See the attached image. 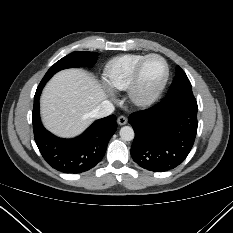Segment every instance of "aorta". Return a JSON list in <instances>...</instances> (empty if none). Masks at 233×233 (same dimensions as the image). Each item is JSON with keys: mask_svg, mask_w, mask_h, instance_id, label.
<instances>
[{"mask_svg": "<svg viewBox=\"0 0 233 233\" xmlns=\"http://www.w3.org/2000/svg\"><path fill=\"white\" fill-rule=\"evenodd\" d=\"M120 137L123 141H131L134 139V130L130 126H124L120 129Z\"/></svg>", "mask_w": 233, "mask_h": 233, "instance_id": "aorta-1", "label": "aorta"}]
</instances>
